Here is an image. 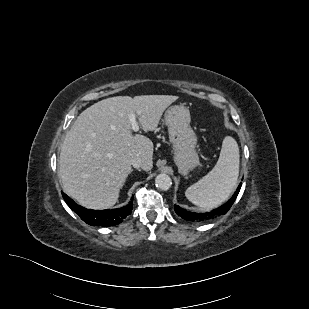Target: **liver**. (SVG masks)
Instances as JSON below:
<instances>
[{
  "label": "liver",
  "mask_w": 309,
  "mask_h": 309,
  "mask_svg": "<svg viewBox=\"0 0 309 309\" xmlns=\"http://www.w3.org/2000/svg\"><path fill=\"white\" fill-rule=\"evenodd\" d=\"M178 98L116 96L84 110L66 134L60 152L64 192L86 208L112 207L132 171V157H141L145 171L153 167V142L132 134L129 116L135 114L144 131H154L165 109Z\"/></svg>",
  "instance_id": "obj_1"
}]
</instances>
